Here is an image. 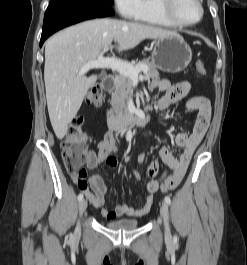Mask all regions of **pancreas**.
I'll return each instance as SVG.
<instances>
[{"instance_id":"cf45deb5","label":"pancreas","mask_w":247,"mask_h":265,"mask_svg":"<svg viewBox=\"0 0 247 265\" xmlns=\"http://www.w3.org/2000/svg\"><path fill=\"white\" fill-rule=\"evenodd\" d=\"M145 65L147 67V72H144L145 78L159 79V72L153 66L149 60H142L135 66ZM115 86L114 92L111 94L110 104L113 111L117 113H122L127 109V99L132 90V79L124 75H117L114 79Z\"/></svg>"}]
</instances>
